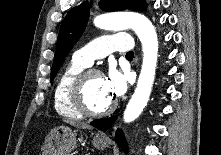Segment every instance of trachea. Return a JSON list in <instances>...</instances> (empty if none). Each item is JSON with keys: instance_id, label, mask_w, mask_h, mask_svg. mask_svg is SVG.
Segmentation results:
<instances>
[{"instance_id": "trachea-1", "label": "trachea", "mask_w": 221, "mask_h": 155, "mask_svg": "<svg viewBox=\"0 0 221 155\" xmlns=\"http://www.w3.org/2000/svg\"><path fill=\"white\" fill-rule=\"evenodd\" d=\"M133 51H130V52H128L127 54H126V57H128V58H132L133 57Z\"/></svg>"}]
</instances>
